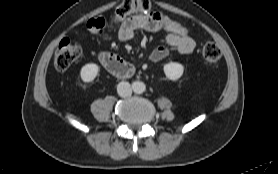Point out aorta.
I'll return each mask as SVG.
<instances>
[{
  "label": "aorta",
  "instance_id": "762f6f07",
  "mask_svg": "<svg viewBox=\"0 0 278 174\" xmlns=\"http://www.w3.org/2000/svg\"><path fill=\"white\" fill-rule=\"evenodd\" d=\"M133 90L137 94H141L146 90V85L143 82L136 81L133 83Z\"/></svg>",
  "mask_w": 278,
  "mask_h": 174
}]
</instances>
